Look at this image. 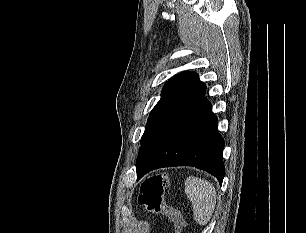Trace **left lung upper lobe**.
I'll return each mask as SVG.
<instances>
[{
	"mask_svg": "<svg viewBox=\"0 0 306 233\" xmlns=\"http://www.w3.org/2000/svg\"><path fill=\"white\" fill-rule=\"evenodd\" d=\"M205 89V84L194 72H182L165 83L141 139L137 170L161 138L203 98Z\"/></svg>",
	"mask_w": 306,
	"mask_h": 233,
	"instance_id": "obj_1",
	"label": "left lung upper lobe"
}]
</instances>
